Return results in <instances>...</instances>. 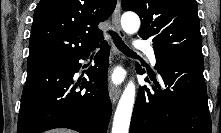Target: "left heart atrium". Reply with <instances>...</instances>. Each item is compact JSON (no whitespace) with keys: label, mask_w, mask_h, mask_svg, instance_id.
Wrapping results in <instances>:
<instances>
[{"label":"left heart atrium","mask_w":221,"mask_h":133,"mask_svg":"<svg viewBox=\"0 0 221 133\" xmlns=\"http://www.w3.org/2000/svg\"><path fill=\"white\" fill-rule=\"evenodd\" d=\"M112 80H113L114 82H118V81L120 80L119 74H114V75L112 76Z\"/></svg>","instance_id":"1"}]
</instances>
